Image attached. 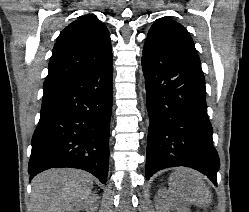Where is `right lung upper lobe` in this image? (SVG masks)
<instances>
[{
    "label": "right lung upper lobe",
    "mask_w": 249,
    "mask_h": 212,
    "mask_svg": "<svg viewBox=\"0 0 249 212\" xmlns=\"http://www.w3.org/2000/svg\"><path fill=\"white\" fill-rule=\"evenodd\" d=\"M109 31L95 15L80 16L60 33L44 86L86 73L112 58Z\"/></svg>",
    "instance_id": "right-lung-upper-lobe-1"
}]
</instances>
